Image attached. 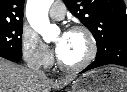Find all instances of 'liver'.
I'll return each instance as SVG.
<instances>
[{
    "instance_id": "1",
    "label": "liver",
    "mask_w": 127,
    "mask_h": 92,
    "mask_svg": "<svg viewBox=\"0 0 127 92\" xmlns=\"http://www.w3.org/2000/svg\"><path fill=\"white\" fill-rule=\"evenodd\" d=\"M72 81V77L58 81L40 78L32 70L0 58V92H52Z\"/></svg>"
}]
</instances>
